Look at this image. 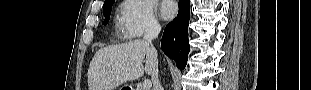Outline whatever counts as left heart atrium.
Here are the masks:
<instances>
[{
  "mask_svg": "<svg viewBox=\"0 0 311 90\" xmlns=\"http://www.w3.org/2000/svg\"><path fill=\"white\" fill-rule=\"evenodd\" d=\"M177 12V6L174 1L165 0L161 4V15L164 19H172Z\"/></svg>",
  "mask_w": 311,
  "mask_h": 90,
  "instance_id": "1",
  "label": "left heart atrium"
}]
</instances>
